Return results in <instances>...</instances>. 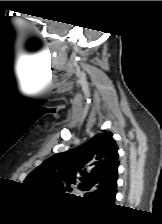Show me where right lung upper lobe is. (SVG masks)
Segmentation results:
<instances>
[{"mask_svg": "<svg viewBox=\"0 0 162 224\" xmlns=\"http://www.w3.org/2000/svg\"><path fill=\"white\" fill-rule=\"evenodd\" d=\"M118 166V147L112 133L104 132L75 149L48 158L24 183L64 194L72 190L76 179H80L82 183L78 187L88 191L86 196L112 202Z\"/></svg>", "mask_w": 162, "mask_h": 224, "instance_id": "obj_1", "label": "right lung upper lobe"}]
</instances>
